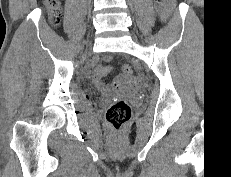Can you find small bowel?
Wrapping results in <instances>:
<instances>
[{
    "label": "small bowel",
    "instance_id": "c3829d8e",
    "mask_svg": "<svg viewBox=\"0 0 231 177\" xmlns=\"http://www.w3.org/2000/svg\"><path fill=\"white\" fill-rule=\"evenodd\" d=\"M111 61V58L109 56L105 57L106 65L99 66L95 74L93 76V83L94 85L104 94L110 95L115 92L121 91L122 87H125L126 89H130L134 83L135 80L133 78L128 79L124 77L122 74L118 75L112 84L105 83L103 81V78L113 69V66L109 63Z\"/></svg>",
    "mask_w": 231,
    "mask_h": 177
}]
</instances>
